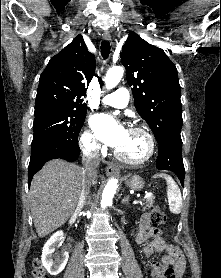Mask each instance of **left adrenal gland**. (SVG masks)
<instances>
[{"mask_svg": "<svg viewBox=\"0 0 221 278\" xmlns=\"http://www.w3.org/2000/svg\"><path fill=\"white\" fill-rule=\"evenodd\" d=\"M128 199H129V196H126L122 199L121 203L122 204H128Z\"/></svg>", "mask_w": 221, "mask_h": 278, "instance_id": "1", "label": "left adrenal gland"}]
</instances>
